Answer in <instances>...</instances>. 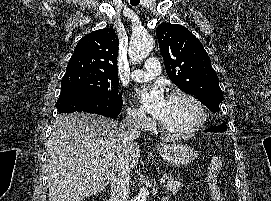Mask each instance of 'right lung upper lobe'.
I'll use <instances>...</instances> for the list:
<instances>
[{"mask_svg":"<svg viewBox=\"0 0 271 201\" xmlns=\"http://www.w3.org/2000/svg\"><path fill=\"white\" fill-rule=\"evenodd\" d=\"M118 36L113 28L93 31L77 43L66 72L84 70L118 75Z\"/></svg>","mask_w":271,"mask_h":201,"instance_id":"cb5924a9","label":"right lung upper lobe"}]
</instances>
